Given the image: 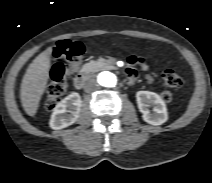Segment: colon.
Listing matches in <instances>:
<instances>
[{"instance_id": "colon-1", "label": "colon", "mask_w": 212, "mask_h": 183, "mask_svg": "<svg viewBox=\"0 0 212 183\" xmlns=\"http://www.w3.org/2000/svg\"><path fill=\"white\" fill-rule=\"evenodd\" d=\"M84 54V47L79 42L69 40L59 41L54 48V56L62 59L54 65L51 72V82L45 98V107L52 110L61 100L67 90V79L79 67ZM162 84L166 88L161 91L165 102L172 99V93L167 89H177L182 86L183 78L174 70L167 69L162 73Z\"/></svg>"}]
</instances>
